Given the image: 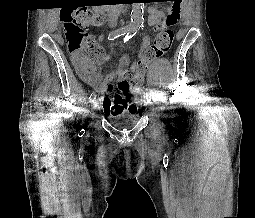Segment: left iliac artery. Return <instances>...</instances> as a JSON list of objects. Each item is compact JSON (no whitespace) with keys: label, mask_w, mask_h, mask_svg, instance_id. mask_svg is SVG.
Returning <instances> with one entry per match:
<instances>
[{"label":"left iliac artery","mask_w":255,"mask_h":218,"mask_svg":"<svg viewBox=\"0 0 255 218\" xmlns=\"http://www.w3.org/2000/svg\"><path fill=\"white\" fill-rule=\"evenodd\" d=\"M135 35V32L131 31L124 37V42L129 41L133 36ZM145 98L148 99V101H151V94L147 93L145 95Z\"/></svg>","instance_id":"obj_1"}]
</instances>
